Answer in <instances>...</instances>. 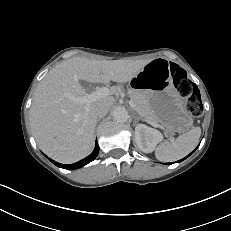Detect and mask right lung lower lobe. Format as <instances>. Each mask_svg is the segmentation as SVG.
Wrapping results in <instances>:
<instances>
[{
	"instance_id": "right-lung-lower-lobe-1",
	"label": "right lung lower lobe",
	"mask_w": 231,
	"mask_h": 231,
	"mask_svg": "<svg viewBox=\"0 0 231 231\" xmlns=\"http://www.w3.org/2000/svg\"><path fill=\"white\" fill-rule=\"evenodd\" d=\"M98 151H99V146H98V144L96 142L93 152L89 156H87L86 158H84V159H82V160H80V161H78V162H76L74 164L64 165V164H60L58 162H55V161L51 160L50 158H49V160L53 164H55L56 166H58L60 168H64V169H67V170H75L77 168H81V167L85 166L86 164L92 162L97 157Z\"/></svg>"
}]
</instances>
